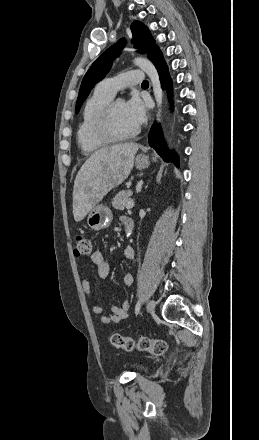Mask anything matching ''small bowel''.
I'll use <instances>...</instances> for the list:
<instances>
[{
  "instance_id": "c3829d8e",
  "label": "small bowel",
  "mask_w": 259,
  "mask_h": 440,
  "mask_svg": "<svg viewBox=\"0 0 259 440\" xmlns=\"http://www.w3.org/2000/svg\"><path fill=\"white\" fill-rule=\"evenodd\" d=\"M127 219V217H122L121 221L124 224V221ZM135 256V250L132 246L125 247L123 251V257L126 260H131ZM91 262L96 267L97 275L100 278H106L108 277L110 273V265L106 258L104 257L101 250H95L91 256H90ZM123 285L126 287H130L133 284V276L131 274H125L123 276ZM82 289L88 296H93V290L90 284V281L87 279L84 273H82ZM130 310V303L128 301H125L119 306H114L112 308V313L110 315H102L101 322L103 324H117L121 322L122 320L126 319L128 317V312ZM92 311L95 314H102L104 311V308L101 303H97L93 305Z\"/></svg>"
}]
</instances>
